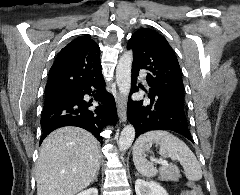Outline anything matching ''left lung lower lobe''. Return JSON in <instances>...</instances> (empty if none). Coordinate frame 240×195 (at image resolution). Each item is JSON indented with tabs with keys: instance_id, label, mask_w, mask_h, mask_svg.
<instances>
[{
	"instance_id": "obj_1",
	"label": "left lung lower lobe",
	"mask_w": 240,
	"mask_h": 195,
	"mask_svg": "<svg viewBox=\"0 0 240 195\" xmlns=\"http://www.w3.org/2000/svg\"><path fill=\"white\" fill-rule=\"evenodd\" d=\"M138 73L132 71L131 93L137 92L135 85ZM150 103L141 101H128L127 118L135 128V139L151 130L175 131L190 141L191 134L188 130L184 112V103L166 95L161 89L151 87L148 89Z\"/></svg>"
}]
</instances>
